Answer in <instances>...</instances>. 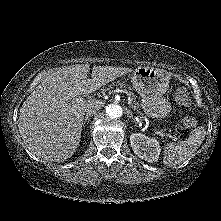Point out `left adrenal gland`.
<instances>
[{"label":"left adrenal gland","mask_w":221,"mask_h":221,"mask_svg":"<svg viewBox=\"0 0 221 221\" xmlns=\"http://www.w3.org/2000/svg\"><path fill=\"white\" fill-rule=\"evenodd\" d=\"M127 113H128L127 114L128 117L133 118V114L130 111H128Z\"/></svg>","instance_id":"a2214340"}]
</instances>
